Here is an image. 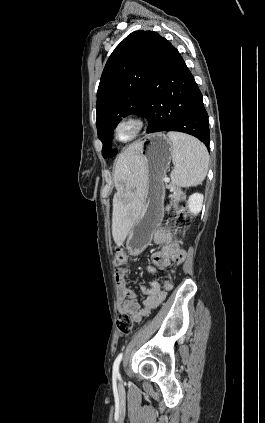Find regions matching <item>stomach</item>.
<instances>
[{
	"mask_svg": "<svg viewBox=\"0 0 265 423\" xmlns=\"http://www.w3.org/2000/svg\"><path fill=\"white\" fill-rule=\"evenodd\" d=\"M138 160L145 177V193L140 212L129 230L128 252L139 255L150 243L164 216V176L170 165L173 146L164 133H155L139 141Z\"/></svg>",
	"mask_w": 265,
	"mask_h": 423,
	"instance_id": "stomach-1",
	"label": "stomach"
}]
</instances>
